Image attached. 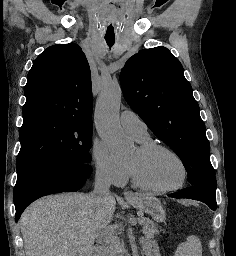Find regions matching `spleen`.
Masks as SVG:
<instances>
[{
    "label": "spleen",
    "instance_id": "3e777b00",
    "mask_svg": "<svg viewBox=\"0 0 236 256\" xmlns=\"http://www.w3.org/2000/svg\"><path fill=\"white\" fill-rule=\"evenodd\" d=\"M175 256H202V246L199 238L189 236L187 242L180 244Z\"/></svg>",
    "mask_w": 236,
    "mask_h": 256
}]
</instances>
